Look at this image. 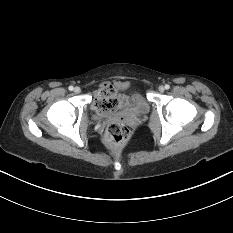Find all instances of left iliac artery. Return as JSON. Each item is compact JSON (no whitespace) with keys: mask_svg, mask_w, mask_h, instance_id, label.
<instances>
[{"mask_svg":"<svg viewBox=\"0 0 233 233\" xmlns=\"http://www.w3.org/2000/svg\"><path fill=\"white\" fill-rule=\"evenodd\" d=\"M169 88H170V86H169L168 84H166V85H165V89L168 90Z\"/></svg>","mask_w":233,"mask_h":233,"instance_id":"obj_1","label":"left iliac artery"}]
</instances>
